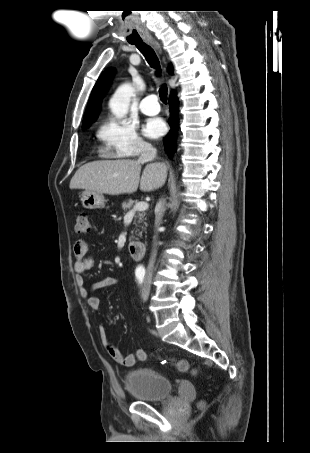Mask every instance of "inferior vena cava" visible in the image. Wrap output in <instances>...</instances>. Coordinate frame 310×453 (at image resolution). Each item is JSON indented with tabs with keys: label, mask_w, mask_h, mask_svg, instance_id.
<instances>
[{
	"label": "inferior vena cava",
	"mask_w": 310,
	"mask_h": 453,
	"mask_svg": "<svg viewBox=\"0 0 310 453\" xmlns=\"http://www.w3.org/2000/svg\"><path fill=\"white\" fill-rule=\"evenodd\" d=\"M157 155V150L149 143H144L142 148H141V155L139 157V161L144 163L148 161H152L156 158ZM163 212H164V201L159 200V202L156 205V215H155V228L157 229L160 226L162 217H163ZM156 237H157V232L156 235L154 236V248L152 250V254L149 260V264L147 267V276L151 277L152 276V271L155 263V257H156Z\"/></svg>",
	"instance_id": "inferior-vena-cava-1"
}]
</instances>
